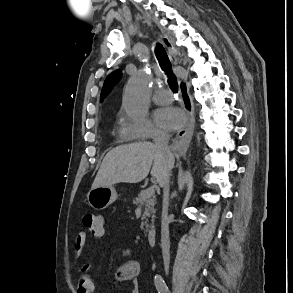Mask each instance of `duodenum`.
I'll use <instances>...</instances> for the list:
<instances>
[{
    "instance_id": "obj_1",
    "label": "duodenum",
    "mask_w": 293,
    "mask_h": 293,
    "mask_svg": "<svg viewBox=\"0 0 293 293\" xmlns=\"http://www.w3.org/2000/svg\"><path fill=\"white\" fill-rule=\"evenodd\" d=\"M148 241L151 247H155L158 242V230L150 228L148 230Z\"/></svg>"
}]
</instances>
